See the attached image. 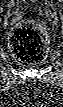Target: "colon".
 Here are the masks:
<instances>
[{
  "mask_svg": "<svg viewBox=\"0 0 63 107\" xmlns=\"http://www.w3.org/2000/svg\"><path fill=\"white\" fill-rule=\"evenodd\" d=\"M10 45L20 63L34 65L42 62L49 45L44 23L37 20L17 26L11 33Z\"/></svg>",
  "mask_w": 63,
  "mask_h": 107,
  "instance_id": "1",
  "label": "colon"
}]
</instances>
